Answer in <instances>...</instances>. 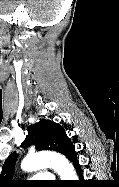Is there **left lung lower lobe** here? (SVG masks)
I'll return each instance as SVG.
<instances>
[{"mask_svg": "<svg viewBox=\"0 0 119 187\" xmlns=\"http://www.w3.org/2000/svg\"><path fill=\"white\" fill-rule=\"evenodd\" d=\"M66 158L69 159V161L73 164L74 168L76 169V171L79 175L80 181H82L83 173H82L79 161H78L77 156H76L74 145L71 147V149H70Z\"/></svg>", "mask_w": 119, "mask_h": 187, "instance_id": "1", "label": "left lung lower lobe"}]
</instances>
